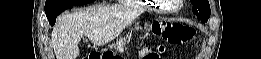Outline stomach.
Listing matches in <instances>:
<instances>
[{"instance_id":"stomach-1","label":"stomach","mask_w":261,"mask_h":59,"mask_svg":"<svg viewBox=\"0 0 261 59\" xmlns=\"http://www.w3.org/2000/svg\"><path fill=\"white\" fill-rule=\"evenodd\" d=\"M127 44H128V40L126 38L120 39L119 42H118L117 50L119 52H124L125 49H126Z\"/></svg>"}]
</instances>
